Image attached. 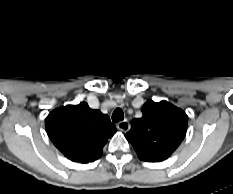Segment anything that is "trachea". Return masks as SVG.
<instances>
[{
    "label": "trachea",
    "instance_id": "obj_1",
    "mask_svg": "<svg viewBox=\"0 0 233 194\" xmlns=\"http://www.w3.org/2000/svg\"><path fill=\"white\" fill-rule=\"evenodd\" d=\"M124 120V113L121 108H117L112 114V121L119 122Z\"/></svg>",
    "mask_w": 233,
    "mask_h": 194
}]
</instances>
